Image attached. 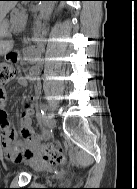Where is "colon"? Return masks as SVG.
<instances>
[{
  "instance_id": "5ec220e1",
  "label": "colon",
  "mask_w": 137,
  "mask_h": 189,
  "mask_svg": "<svg viewBox=\"0 0 137 189\" xmlns=\"http://www.w3.org/2000/svg\"><path fill=\"white\" fill-rule=\"evenodd\" d=\"M16 59V54L11 52L5 60H0V89L7 84L14 76L13 62ZM34 104L30 105L33 111ZM41 157L55 165H63L66 163V156L58 147L47 143L41 146Z\"/></svg>"
}]
</instances>
